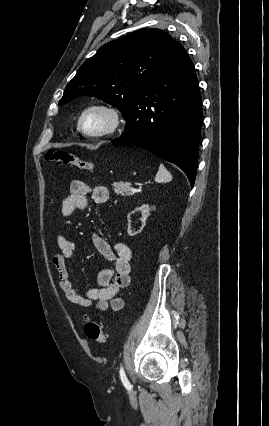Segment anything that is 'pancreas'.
I'll use <instances>...</instances> for the list:
<instances>
[{
    "label": "pancreas",
    "instance_id": "cf45deb5",
    "mask_svg": "<svg viewBox=\"0 0 269 426\" xmlns=\"http://www.w3.org/2000/svg\"><path fill=\"white\" fill-rule=\"evenodd\" d=\"M113 187H114V192L118 195H122V196L133 195V193L131 192V189H132L131 183L129 182L114 183Z\"/></svg>",
    "mask_w": 269,
    "mask_h": 426
}]
</instances>
